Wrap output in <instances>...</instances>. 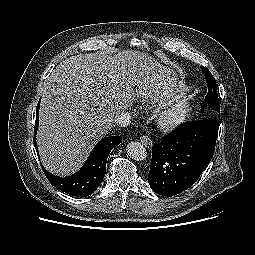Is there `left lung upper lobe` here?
Masks as SVG:
<instances>
[{
	"label": "left lung upper lobe",
	"mask_w": 255,
	"mask_h": 255,
	"mask_svg": "<svg viewBox=\"0 0 255 255\" xmlns=\"http://www.w3.org/2000/svg\"><path fill=\"white\" fill-rule=\"evenodd\" d=\"M202 70L204 72L206 82H207V87H208V93L206 97L204 98L203 102V108L206 106H209L212 110L216 112H220V104L218 100V95H217V84L212 76L211 72L206 68L202 67Z\"/></svg>",
	"instance_id": "obj_1"
}]
</instances>
